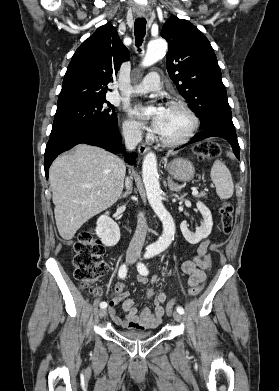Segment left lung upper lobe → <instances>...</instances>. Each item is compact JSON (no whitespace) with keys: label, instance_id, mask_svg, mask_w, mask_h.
Here are the masks:
<instances>
[{"label":"left lung upper lobe","instance_id":"5c2ea615","mask_svg":"<svg viewBox=\"0 0 279 391\" xmlns=\"http://www.w3.org/2000/svg\"><path fill=\"white\" fill-rule=\"evenodd\" d=\"M161 36L169 43V76L199 117L200 129L221 127L235 131L221 70L205 35L189 21L171 16Z\"/></svg>","mask_w":279,"mask_h":391}]
</instances>
